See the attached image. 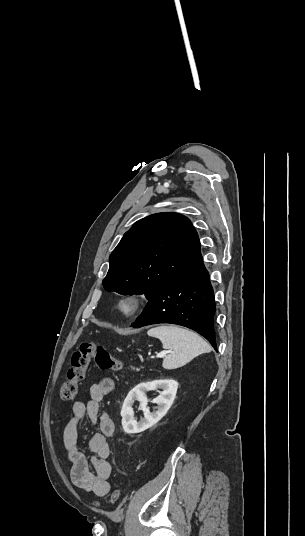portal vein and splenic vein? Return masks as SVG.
I'll list each match as a JSON object with an SVG mask.
<instances>
[{"mask_svg": "<svg viewBox=\"0 0 305 536\" xmlns=\"http://www.w3.org/2000/svg\"><path fill=\"white\" fill-rule=\"evenodd\" d=\"M169 352H172V350H167V352H160V354H157L156 358H164L166 354H169Z\"/></svg>", "mask_w": 305, "mask_h": 536, "instance_id": "18ae733b", "label": "portal vein and splenic vein"}]
</instances>
